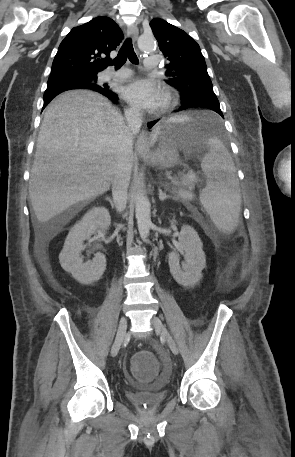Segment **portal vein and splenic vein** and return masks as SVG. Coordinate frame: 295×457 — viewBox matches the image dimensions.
Segmentation results:
<instances>
[{
  "label": "portal vein and splenic vein",
  "mask_w": 295,
  "mask_h": 457,
  "mask_svg": "<svg viewBox=\"0 0 295 457\" xmlns=\"http://www.w3.org/2000/svg\"><path fill=\"white\" fill-rule=\"evenodd\" d=\"M197 180V177L194 173L193 170H190L187 174H186V181H191V182H196Z\"/></svg>",
  "instance_id": "portal-vein-and-splenic-vein-1"
}]
</instances>
